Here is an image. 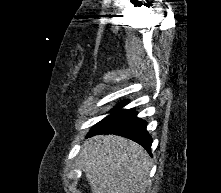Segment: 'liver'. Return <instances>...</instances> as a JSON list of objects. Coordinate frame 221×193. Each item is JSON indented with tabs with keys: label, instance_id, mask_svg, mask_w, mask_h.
Wrapping results in <instances>:
<instances>
[{
	"label": "liver",
	"instance_id": "1",
	"mask_svg": "<svg viewBox=\"0 0 221 193\" xmlns=\"http://www.w3.org/2000/svg\"><path fill=\"white\" fill-rule=\"evenodd\" d=\"M79 159L92 193H145L150 185V156L124 137H91L84 142Z\"/></svg>",
	"mask_w": 221,
	"mask_h": 193
}]
</instances>
